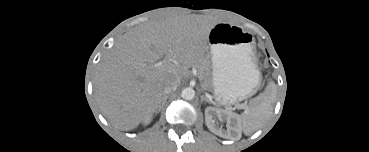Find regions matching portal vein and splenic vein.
Returning <instances> with one entry per match:
<instances>
[{
	"mask_svg": "<svg viewBox=\"0 0 369 152\" xmlns=\"http://www.w3.org/2000/svg\"><path fill=\"white\" fill-rule=\"evenodd\" d=\"M166 60H168V61H172V58H171L170 56H167V57H166Z\"/></svg>",
	"mask_w": 369,
	"mask_h": 152,
	"instance_id": "18ae733b",
	"label": "portal vein and splenic vein"
}]
</instances>
